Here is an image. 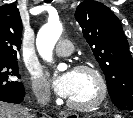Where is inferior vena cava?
Wrapping results in <instances>:
<instances>
[{
  "label": "inferior vena cava",
  "mask_w": 133,
  "mask_h": 118,
  "mask_svg": "<svg viewBox=\"0 0 133 118\" xmlns=\"http://www.w3.org/2000/svg\"><path fill=\"white\" fill-rule=\"evenodd\" d=\"M37 101L41 105H46L50 100V91L48 89H40L36 92ZM32 118V116H30Z\"/></svg>",
  "instance_id": "1"
}]
</instances>
